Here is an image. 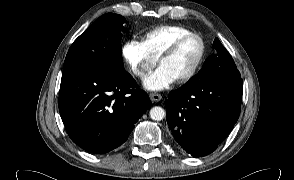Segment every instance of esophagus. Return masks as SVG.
<instances>
[{
	"instance_id": "obj_1",
	"label": "esophagus",
	"mask_w": 294,
	"mask_h": 180,
	"mask_svg": "<svg viewBox=\"0 0 294 180\" xmlns=\"http://www.w3.org/2000/svg\"><path fill=\"white\" fill-rule=\"evenodd\" d=\"M149 96L153 102H158L162 99V96L159 93H151Z\"/></svg>"
}]
</instances>
